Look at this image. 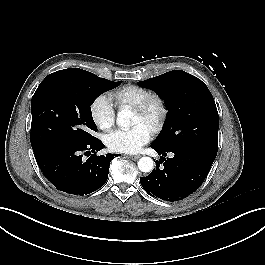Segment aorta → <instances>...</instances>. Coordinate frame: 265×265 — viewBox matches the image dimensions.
Here are the masks:
<instances>
[{
  "mask_svg": "<svg viewBox=\"0 0 265 265\" xmlns=\"http://www.w3.org/2000/svg\"><path fill=\"white\" fill-rule=\"evenodd\" d=\"M132 116L131 111L129 110H121L117 114L116 123L122 128L126 129L131 126L130 118ZM138 168L141 172H151L154 168V162L150 157H142L138 161Z\"/></svg>",
  "mask_w": 265,
  "mask_h": 265,
  "instance_id": "762f6f07",
  "label": "aorta"
}]
</instances>
